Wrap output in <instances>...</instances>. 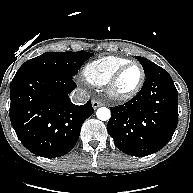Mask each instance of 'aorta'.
<instances>
[{
    "label": "aorta",
    "mask_w": 193,
    "mask_h": 193,
    "mask_svg": "<svg viewBox=\"0 0 193 193\" xmlns=\"http://www.w3.org/2000/svg\"><path fill=\"white\" fill-rule=\"evenodd\" d=\"M96 116H97L98 119H100L102 121H106V120L110 119L111 112L108 108L101 107L97 110Z\"/></svg>",
    "instance_id": "aorta-1"
}]
</instances>
